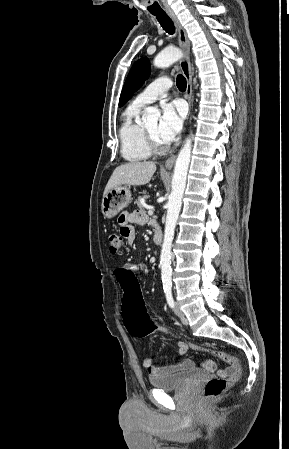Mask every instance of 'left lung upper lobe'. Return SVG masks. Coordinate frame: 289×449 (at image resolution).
I'll return each mask as SVG.
<instances>
[{"mask_svg": "<svg viewBox=\"0 0 289 449\" xmlns=\"http://www.w3.org/2000/svg\"><path fill=\"white\" fill-rule=\"evenodd\" d=\"M149 74L150 63L147 58H141L134 63L122 89L119 106L124 105L130 99L132 94L142 86Z\"/></svg>", "mask_w": 289, "mask_h": 449, "instance_id": "1", "label": "left lung upper lobe"}]
</instances>
